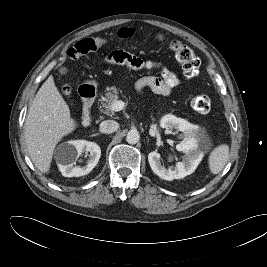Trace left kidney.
I'll return each instance as SVG.
<instances>
[{
    "instance_id": "5707ae66",
    "label": "left kidney",
    "mask_w": 267,
    "mask_h": 267,
    "mask_svg": "<svg viewBox=\"0 0 267 267\" xmlns=\"http://www.w3.org/2000/svg\"><path fill=\"white\" fill-rule=\"evenodd\" d=\"M160 126L166 129H177L183 133V140L176 145L177 151L183 152L182 162H178L174 169H166L160 162V154L156 151L148 154V161L152 171L163 180L171 181L182 179L193 173L200 162V158L194 151L196 143L197 127H194L184 119L168 114L162 117Z\"/></svg>"
}]
</instances>
